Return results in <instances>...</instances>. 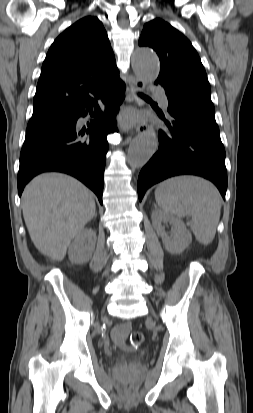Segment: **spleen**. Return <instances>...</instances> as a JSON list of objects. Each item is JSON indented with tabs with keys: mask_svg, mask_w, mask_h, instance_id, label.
I'll list each match as a JSON object with an SVG mask.
<instances>
[{
	"mask_svg": "<svg viewBox=\"0 0 253 413\" xmlns=\"http://www.w3.org/2000/svg\"><path fill=\"white\" fill-rule=\"evenodd\" d=\"M157 204L177 217H192L191 230L203 245L211 243L220 219L221 197L209 181L197 176H178L160 183Z\"/></svg>",
	"mask_w": 253,
	"mask_h": 413,
	"instance_id": "obj_1",
	"label": "spleen"
}]
</instances>
